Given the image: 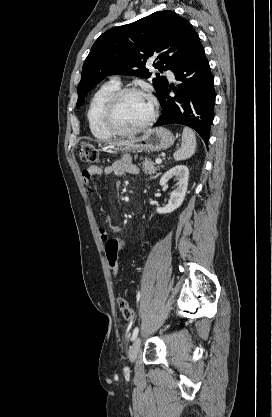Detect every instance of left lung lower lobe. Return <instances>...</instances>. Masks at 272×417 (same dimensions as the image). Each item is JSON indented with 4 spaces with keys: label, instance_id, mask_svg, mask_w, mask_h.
Here are the masks:
<instances>
[{
    "label": "left lung lower lobe",
    "instance_id": "left-lung-lower-lobe-1",
    "mask_svg": "<svg viewBox=\"0 0 272 417\" xmlns=\"http://www.w3.org/2000/svg\"><path fill=\"white\" fill-rule=\"evenodd\" d=\"M178 87L167 85L158 98L162 115L154 126L182 124L195 129L207 144L214 119L215 91L213 76L203 46L183 59L172 70ZM175 96L171 97L170 91Z\"/></svg>",
    "mask_w": 272,
    "mask_h": 417
}]
</instances>
